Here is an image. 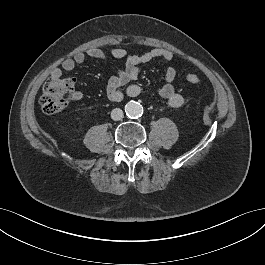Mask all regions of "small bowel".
Listing matches in <instances>:
<instances>
[{"label": "small bowel", "instance_id": "1", "mask_svg": "<svg viewBox=\"0 0 265 265\" xmlns=\"http://www.w3.org/2000/svg\"><path fill=\"white\" fill-rule=\"evenodd\" d=\"M86 57L101 60H108L110 58L124 60V66L115 76L110 78L106 88L107 98L111 102H120L125 95V92L121 88L138 78L141 65L156 59L168 62L172 60L173 53L168 49L155 48L140 55H131L121 48L103 50L101 48L91 47L85 52H77L72 57L65 58L61 62L60 67L54 68L51 71V76H61L63 72L72 71L76 65L84 63ZM176 74V69L172 66H168L164 73V83L158 90L160 97L172 108H178L184 103L183 96L176 91L174 86ZM141 91L142 89L140 86L132 84L127 88L126 94L135 97L138 96ZM74 99H81V94L75 93Z\"/></svg>", "mask_w": 265, "mask_h": 265}]
</instances>
